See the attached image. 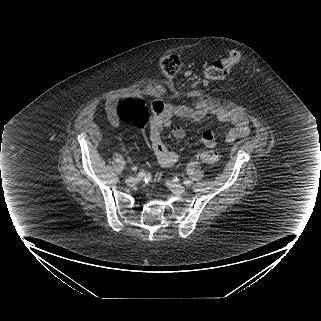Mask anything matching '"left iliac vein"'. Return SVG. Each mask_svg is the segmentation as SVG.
Returning <instances> with one entry per match:
<instances>
[{"mask_svg": "<svg viewBox=\"0 0 321 321\" xmlns=\"http://www.w3.org/2000/svg\"><path fill=\"white\" fill-rule=\"evenodd\" d=\"M168 186L175 194H183L185 192V187L181 184L169 181Z\"/></svg>", "mask_w": 321, "mask_h": 321, "instance_id": "left-iliac-vein-1", "label": "left iliac vein"}]
</instances>
